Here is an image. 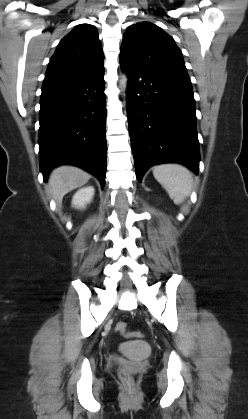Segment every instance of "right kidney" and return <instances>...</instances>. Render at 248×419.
I'll return each instance as SVG.
<instances>
[{"label": "right kidney", "mask_w": 248, "mask_h": 419, "mask_svg": "<svg viewBox=\"0 0 248 419\" xmlns=\"http://www.w3.org/2000/svg\"><path fill=\"white\" fill-rule=\"evenodd\" d=\"M94 188L92 186L84 187L78 190L72 198V206L77 209H84L94 196Z\"/></svg>", "instance_id": "obj_1"}]
</instances>
